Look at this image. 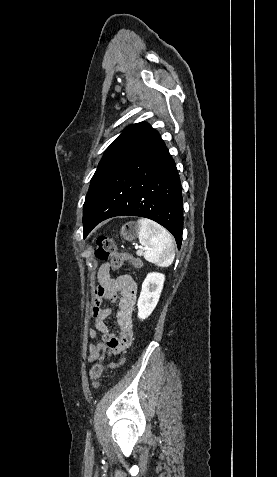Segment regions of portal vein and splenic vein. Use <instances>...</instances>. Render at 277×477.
Returning <instances> with one entry per match:
<instances>
[{"label": "portal vein and splenic vein", "mask_w": 277, "mask_h": 477, "mask_svg": "<svg viewBox=\"0 0 277 477\" xmlns=\"http://www.w3.org/2000/svg\"><path fill=\"white\" fill-rule=\"evenodd\" d=\"M140 248H141V247H139V246H135V249L138 250V251H137V254H138V255H141V254H142V250H140Z\"/></svg>", "instance_id": "portal-vein-and-splenic-vein-1"}]
</instances>
